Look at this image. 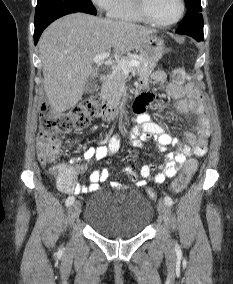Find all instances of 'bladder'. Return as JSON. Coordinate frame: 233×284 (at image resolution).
<instances>
[{"label":"bladder","mask_w":233,"mask_h":284,"mask_svg":"<svg viewBox=\"0 0 233 284\" xmlns=\"http://www.w3.org/2000/svg\"><path fill=\"white\" fill-rule=\"evenodd\" d=\"M154 215L143 193L128 190L119 195H93L86 206L84 222L93 231L110 239H128L146 230Z\"/></svg>","instance_id":"bladder-1"}]
</instances>
